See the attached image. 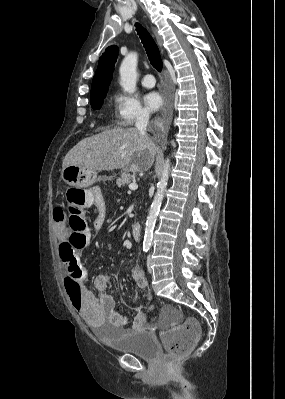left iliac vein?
<instances>
[{"instance_id": "1", "label": "left iliac vein", "mask_w": 285, "mask_h": 399, "mask_svg": "<svg viewBox=\"0 0 285 399\" xmlns=\"http://www.w3.org/2000/svg\"><path fill=\"white\" fill-rule=\"evenodd\" d=\"M151 255H149L148 257H147V269H148V272L149 273H152V267H151Z\"/></svg>"}]
</instances>
